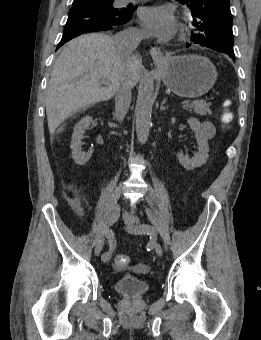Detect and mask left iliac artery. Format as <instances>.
<instances>
[{
  "instance_id": "1",
  "label": "left iliac artery",
  "mask_w": 261,
  "mask_h": 340,
  "mask_svg": "<svg viewBox=\"0 0 261 340\" xmlns=\"http://www.w3.org/2000/svg\"><path fill=\"white\" fill-rule=\"evenodd\" d=\"M139 228L150 236H157L156 230L148 224H143ZM163 246H164L165 250H167V246H166L165 243H163Z\"/></svg>"
}]
</instances>
